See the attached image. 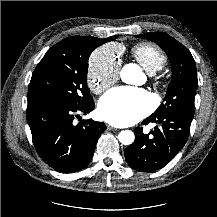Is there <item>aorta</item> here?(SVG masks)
<instances>
[{"label": "aorta", "mask_w": 217, "mask_h": 217, "mask_svg": "<svg viewBox=\"0 0 217 217\" xmlns=\"http://www.w3.org/2000/svg\"><path fill=\"white\" fill-rule=\"evenodd\" d=\"M121 79L127 84H138L141 77V68L136 64H126L121 70ZM118 139L123 145H130L134 142L135 135L130 130L121 131L118 134Z\"/></svg>", "instance_id": "1"}]
</instances>
